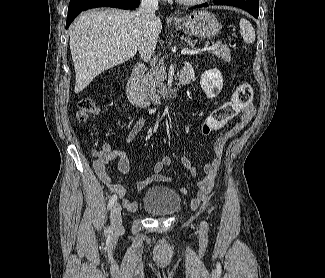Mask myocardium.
<instances>
[{"label": "myocardium", "instance_id": "1", "mask_svg": "<svg viewBox=\"0 0 325 278\" xmlns=\"http://www.w3.org/2000/svg\"><path fill=\"white\" fill-rule=\"evenodd\" d=\"M179 3L188 6H197L207 3L209 0H177Z\"/></svg>", "mask_w": 325, "mask_h": 278}]
</instances>
